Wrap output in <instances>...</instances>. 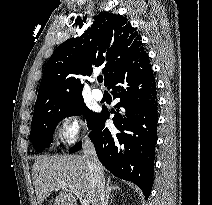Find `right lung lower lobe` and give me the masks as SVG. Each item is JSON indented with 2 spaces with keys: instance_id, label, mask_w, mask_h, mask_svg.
Listing matches in <instances>:
<instances>
[{
  "instance_id": "obj_1",
  "label": "right lung lower lobe",
  "mask_w": 212,
  "mask_h": 205,
  "mask_svg": "<svg viewBox=\"0 0 212 205\" xmlns=\"http://www.w3.org/2000/svg\"><path fill=\"white\" fill-rule=\"evenodd\" d=\"M107 87L114 99L120 98L116 110L111 111L119 132L105 128L110 113L102 110L90 127L89 137L100 162L115 176L135 183L147 199L153 181L158 121L156 83L148 54L120 68ZM81 147L79 142L69 152Z\"/></svg>"
}]
</instances>
